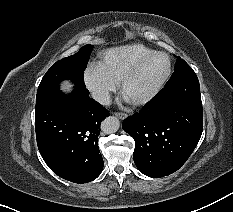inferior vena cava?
<instances>
[{"instance_id": "602c4592", "label": "inferior vena cava", "mask_w": 233, "mask_h": 212, "mask_svg": "<svg viewBox=\"0 0 233 212\" xmlns=\"http://www.w3.org/2000/svg\"><path fill=\"white\" fill-rule=\"evenodd\" d=\"M93 99L99 102L102 105H110L111 98L108 91L98 90L92 93Z\"/></svg>"}]
</instances>
